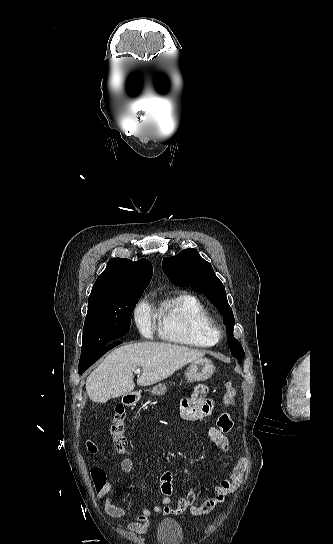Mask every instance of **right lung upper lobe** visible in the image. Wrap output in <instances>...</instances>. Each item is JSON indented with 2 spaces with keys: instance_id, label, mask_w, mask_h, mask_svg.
<instances>
[{
  "instance_id": "right-lung-upper-lobe-1",
  "label": "right lung upper lobe",
  "mask_w": 333,
  "mask_h": 544,
  "mask_svg": "<svg viewBox=\"0 0 333 544\" xmlns=\"http://www.w3.org/2000/svg\"><path fill=\"white\" fill-rule=\"evenodd\" d=\"M152 273V265L146 259L133 262L129 259L113 258L95 281L89 302L144 291L152 278Z\"/></svg>"
}]
</instances>
